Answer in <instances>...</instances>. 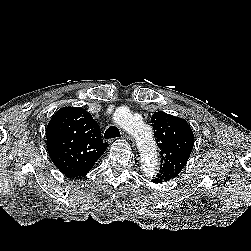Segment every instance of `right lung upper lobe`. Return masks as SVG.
<instances>
[{
	"mask_svg": "<svg viewBox=\"0 0 251 251\" xmlns=\"http://www.w3.org/2000/svg\"><path fill=\"white\" fill-rule=\"evenodd\" d=\"M47 150L54 165L67 177L86 175L105 152L100 126L79 107H64L46 129Z\"/></svg>",
	"mask_w": 251,
	"mask_h": 251,
	"instance_id": "right-lung-upper-lobe-1",
	"label": "right lung upper lobe"
}]
</instances>
